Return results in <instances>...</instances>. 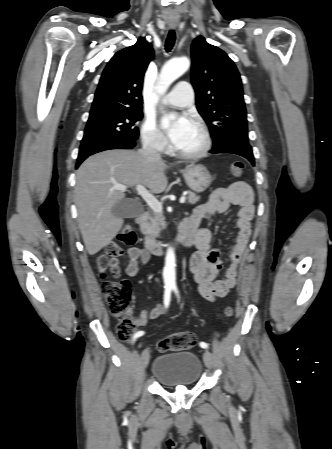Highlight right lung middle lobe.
Wrapping results in <instances>:
<instances>
[{
  "instance_id": "obj_1",
  "label": "right lung middle lobe",
  "mask_w": 332,
  "mask_h": 449,
  "mask_svg": "<svg viewBox=\"0 0 332 449\" xmlns=\"http://www.w3.org/2000/svg\"><path fill=\"white\" fill-rule=\"evenodd\" d=\"M142 116V109L90 113L81 145L105 139L136 141L139 130L135 123L141 120Z\"/></svg>"
}]
</instances>
